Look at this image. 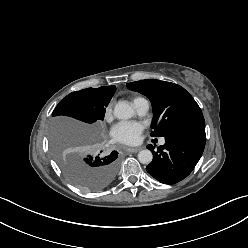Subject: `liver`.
<instances>
[{
	"instance_id": "liver-1",
	"label": "liver",
	"mask_w": 248,
	"mask_h": 248,
	"mask_svg": "<svg viewBox=\"0 0 248 248\" xmlns=\"http://www.w3.org/2000/svg\"><path fill=\"white\" fill-rule=\"evenodd\" d=\"M55 128L63 135L77 133L80 135L94 136L93 128L68 119L56 120Z\"/></svg>"
}]
</instances>
